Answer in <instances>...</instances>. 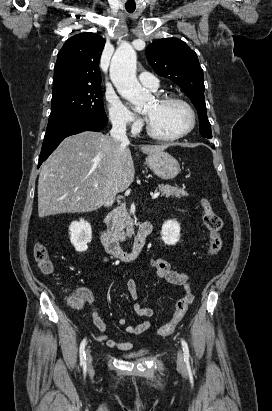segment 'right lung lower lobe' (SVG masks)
Returning a JSON list of instances; mask_svg holds the SVG:
<instances>
[{
	"instance_id": "98d812e1",
	"label": "right lung lower lobe",
	"mask_w": 272,
	"mask_h": 411,
	"mask_svg": "<svg viewBox=\"0 0 272 411\" xmlns=\"http://www.w3.org/2000/svg\"><path fill=\"white\" fill-rule=\"evenodd\" d=\"M107 125V121L93 119H77L60 127L46 131L39 157L38 168L48 156L57 148L60 142L70 136L83 131H100Z\"/></svg>"
}]
</instances>
